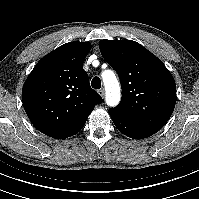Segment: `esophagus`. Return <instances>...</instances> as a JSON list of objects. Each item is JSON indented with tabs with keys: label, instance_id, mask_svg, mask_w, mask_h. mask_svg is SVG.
Wrapping results in <instances>:
<instances>
[{
	"label": "esophagus",
	"instance_id": "obj_1",
	"mask_svg": "<svg viewBox=\"0 0 199 199\" xmlns=\"http://www.w3.org/2000/svg\"><path fill=\"white\" fill-rule=\"evenodd\" d=\"M98 94L102 97V98H104V96H105V90L102 88V89H99L98 90Z\"/></svg>",
	"mask_w": 199,
	"mask_h": 199
}]
</instances>
